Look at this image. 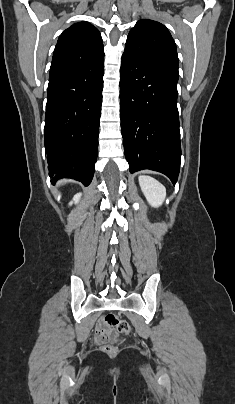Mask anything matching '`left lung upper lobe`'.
I'll use <instances>...</instances> for the list:
<instances>
[{
    "label": "left lung upper lobe",
    "instance_id": "obj_1",
    "mask_svg": "<svg viewBox=\"0 0 235 404\" xmlns=\"http://www.w3.org/2000/svg\"><path fill=\"white\" fill-rule=\"evenodd\" d=\"M178 73L176 44L161 23L142 19L131 29L125 51Z\"/></svg>",
    "mask_w": 235,
    "mask_h": 404
}]
</instances>
